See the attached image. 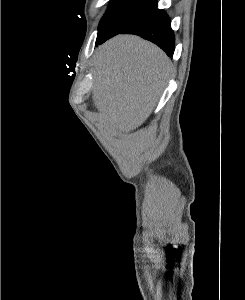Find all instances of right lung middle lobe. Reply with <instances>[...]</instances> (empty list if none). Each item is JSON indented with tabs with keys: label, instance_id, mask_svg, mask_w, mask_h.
Masks as SVG:
<instances>
[{
	"label": "right lung middle lobe",
	"instance_id": "right-lung-middle-lobe-1",
	"mask_svg": "<svg viewBox=\"0 0 245 300\" xmlns=\"http://www.w3.org/2000/svg\"><path fill=\"white\" fill-rule=\"evenodd\" d=\"M156 7V1L113 0L100 21L97 40L123 31Z\"/></svg>",
	"mask_w": 245,
	"mask_h": 300
}]
</instances>
